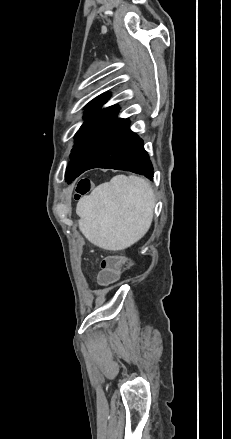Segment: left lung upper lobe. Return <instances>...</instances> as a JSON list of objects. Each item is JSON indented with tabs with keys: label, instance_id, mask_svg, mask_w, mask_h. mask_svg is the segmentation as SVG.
<instances>
[{
	"label": "left lung upper lobe",
	"instance_id": "left-lung-upper-lobe-1",
	"mask_svg": "<svg viewBox=\"0 0 231 439\" xmlns=\"http://www.w3.org/2000/svg\"><path fill=\"white\" fill-rule=\"evenodd\" d=\"M109 94H102L86 107L84 123L75 134V144L71 150V160L65 179L71 182L88 167L107 138L118 128L124 119L118 118L119 107L101 109ZM90 115V116H88Z\"/></svg>",
	"mask_w": 231,
	"mask_h": 439
}]
</instances>
